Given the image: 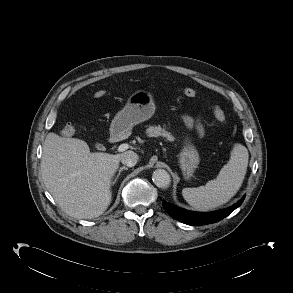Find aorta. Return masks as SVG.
<instances>
[{"label":"aorta","mask_w":293,"mask_h":293,"mask_svg":"<svg viewBox=\"0 0 293 293\" xmlns=\"http://www.w3.org/2000/svg\"><path fill=\"white\" fill-rule=\"evenodd\" d=\"M152 180L159 188H167L171 182L169 173L164 169L155 170L152 175Z\"/></svg>","instance_id":"762f6f07"}]
</instances>
